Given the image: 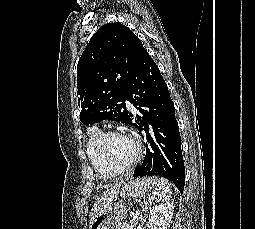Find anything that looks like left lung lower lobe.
I'll list each match as a JSON object with an SVG mask.
<instances>
[{
	"mask_svg": "<svg viewBox=\"0 0 255 229\" xmlns=\"http://www.w3.org/2000/svg\"><path fill=\"white\" fill-rule=\"evenodd\" d=\"M123 100L140 112L135 122L128 112L127 124L144 132L147 145L145 159L133 176L165 177L183 193L185 167L174 104L158 66L146 50L124 90Z\"/></svg>",
	"mask_w": 255,
	"mask_h": 229,
	"instance_id": "1",
	"label": "left lung lower lobe"
}]
</instances>
